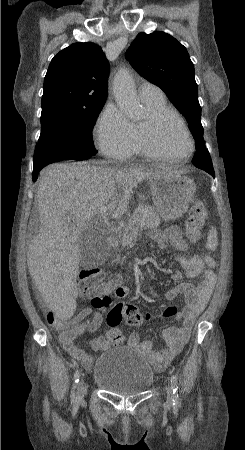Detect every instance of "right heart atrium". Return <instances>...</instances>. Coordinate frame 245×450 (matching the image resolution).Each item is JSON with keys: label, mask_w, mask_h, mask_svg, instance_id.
Masks as SVG:
<instances>
[{"label": "right heart atrium", "mask_w": 245, "mask_h": 450, "mask_svg": "<svg viewBox=\"0 0 245 450\" xmlns=\"http://www.w3.org/2000/svg\"><path fill=\"white\" fill-rule=\"evenodd\" d=\"M94 133L98 149L108 158L123 161L135 152L134 125L113 103L104 107Z\"/></svg>", "instance_id": "obj_1"}]
</instances>
